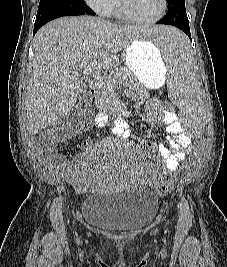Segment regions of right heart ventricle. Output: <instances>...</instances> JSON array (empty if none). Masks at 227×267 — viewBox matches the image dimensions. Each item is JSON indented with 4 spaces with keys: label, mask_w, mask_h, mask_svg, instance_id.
<instances>
[{
    "label": "right heart ventricle",
    "mask_w": 227,
    "mask_h": 267,
    "mask_svg": "<svg viewBox=\"0 0 227 267\" xmlns=\"http://www.w3.org/2000/svg\"><path fill=\"white\" fill-rule=\"evenodd\" d=\"M112 12L115 13V14H117V11H116L115 7H114V9H113Z\"/></svg>",
    "instance_id": "obj_1"
}]
</instances>
